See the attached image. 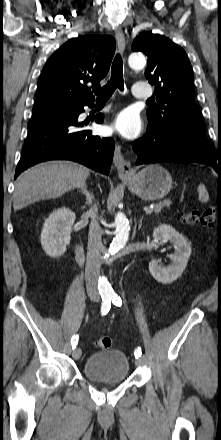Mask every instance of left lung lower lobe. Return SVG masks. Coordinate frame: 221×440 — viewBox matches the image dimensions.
Returning <instances> with one entry per match:
<instances>
[{"instance_id": "left-lung-lower-lobe-1", "label": "left lung lower lobe", "mask_w": 221, "mask_h": 440, "mask_svg": "<svg viewBox=\"0 0 221 440\" xmlns=\"http://www.w3.org/2000/svg\"><path fill=\"white\" fill-rule=\"evenodd\" d=\"M136 164L191 161L213 167L221 176V152L216 151L202 127L173 123L162 129L148 125L146 134L133 142Z\"/></svg>"}]
</instances>
